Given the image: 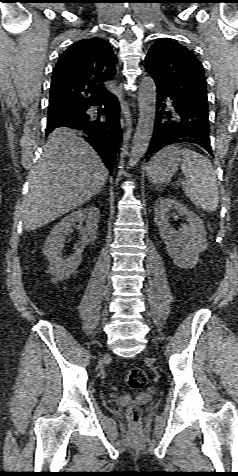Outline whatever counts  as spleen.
I'll use <instances>...</instances> for the list:
<instances>
[{"label": "spleen", "instance_id": "3e777b00", "mask_svg": "<svg viewBox=\"0 0 238 476\" xmlns=\"http://www.w3.org/2000/svg\"><path fill=\"white\" fill-rule=\"evenodd\" d=\"M181 170L185 176L183 191L198 207L207 212L216 211L219 204V191L215 170L211 162L201 154L182 149Z\"/></svg>", "mask_w": 238, "mask_h": 476}]
</instances>
